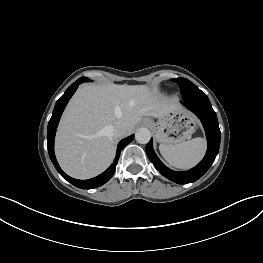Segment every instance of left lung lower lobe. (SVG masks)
I'll list each match as a JSON object with an SVG mask.
<instances>
[{
    "instance_id": "left-lung-lower-lobe-1",
    "label": "left lung lower lobe",
    "mask_w": 263,
    "mask_h": 263,
    "mask_svg": "<svg viewBox=\"0 0 263 263\" xmlns=\"http://www.w3.org/2000/svg\"><path fill=\"white\" fill-rule=\"evenodd\" d=\"M185 106L201 120L207 137L208 149L203 160L194 168L185 172H175L167 168L157 157L152 147V139L146 145L148 158L155 168L169 180L178 184L195 182L202 177L214 162L220 146V129L216 113L208 97L201 91L183 95Z\"/></svg>"
}]
</instances>
